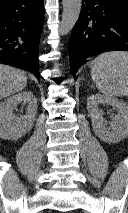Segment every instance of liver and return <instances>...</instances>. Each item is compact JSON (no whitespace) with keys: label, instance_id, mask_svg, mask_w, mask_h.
Masks as SVG:
<instances>
[{"label":"liver","instance_id":"6515ba94","mask_svg":"<svg viewBox=\"0 0 128 213\" xmlns=\"http://www.w3.org/2000/svg\"><path fill=\"white\" fill-rule=\"evenodd\" d=\"M26 85L27 77L23 71L0 64V99L21 91Z\"/></svg>","mask_w":128,"mask_h":213}]
</instances>
